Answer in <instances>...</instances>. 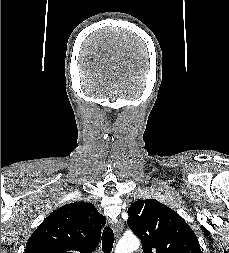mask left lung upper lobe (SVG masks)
<instances>
[{"label":"left lung upper lobe","mask_w":229,"mask_h":253,"mask_svg":"<svg viewBox=\"0 0 229 253\" xmlns=\"http://www.w3.org/2000/svg\"><path fill=\"white\" fill-rule=\"evenodd\" d=\"M128 226L147 253H201L199 241L175 211L154 199L139 200L128 208Z\"/></svg>","instance_id":"left-lung-upper-lobe-1"}]
</instances>
